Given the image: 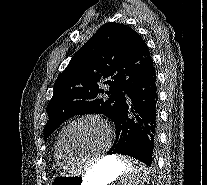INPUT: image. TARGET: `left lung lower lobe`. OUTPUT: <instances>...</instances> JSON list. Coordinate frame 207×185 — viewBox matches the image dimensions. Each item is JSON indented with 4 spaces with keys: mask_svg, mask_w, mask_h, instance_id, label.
Listing matches in <instances>:
<instances>
[{
    "mask_svg": "<svg viewBox=\"0 0 207 185\" xmlns=\"http://www.w3.org/2000/svg\"><path fill=\"white\" fill-rule=\"evenodd\" d=\"M157 104V77L152 66L127 93L114 122L116 139L107 154L128 155L151 166L158 142Z\"/></svg>",
    "mask_w": 207,
    "mask_h": 185,
    "instance_id": "obj_1",
    "label": "left lung lower lobe"
}]
</instances>
